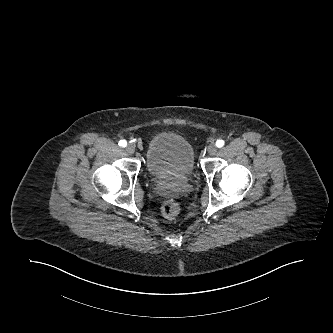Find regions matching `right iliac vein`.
I'll list each match as a JSON object with an SVG mask.
<instances>
[{
  "mask_svg": "<svg viewBox=\"0 0 333 333\" xmlns=\"http://www.w3.org/2000/svg\"><path fill=\"white\" fill-rule=\"evenodd\" d=\"M126 152L130 155L135 153V145L133 143H129L126 148H125Z\"/></svg>",
  "mask_w": 333,
  "mask_h": 333,
  "instance_id": "63e3f726",
  "label": "right iliac vein"
}]
</instances>
